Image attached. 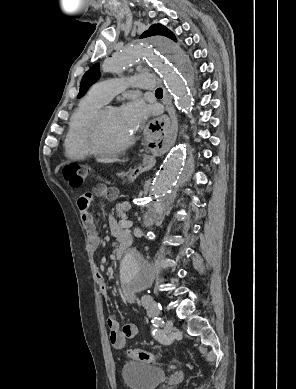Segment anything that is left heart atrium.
<instances>
[{"label": "left heart atrium", "instance_id": "39dd6f15", "mask_svg": "<svg viewBox=\"0 0 296 389\" xmlns=\"http://www.w3.org/2000/svg\"><path fill=\"white\" fill-rule=\"evenodd\" d=\"M119 113L126 127L133 134L146 120L148 109L140 99L133 98L119 109Z\"/></svg>", "mask_w": 296, "mask_h": 389}]
</instances>
